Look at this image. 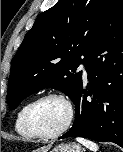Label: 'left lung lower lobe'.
I'll return each mask as SVG.
<instances>
[{
	"mask_svg": "<svg viewBox=\"0 0 123 152\" xmlns=\"http://www.w3.org/2000/svg\"><path fill=\"white\" fill-rule=\"evenodd\" d=\"M84 64L91 83L81 85L73 101L75 122L59 139L79 136L123 148V1Z\"/></svg>",
	"mask_w": 123,
	"mask_h": 152,
	"instance_id": "obj_1",
	"label": "left lung lower lobe"
}]
</instances>
